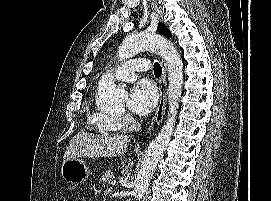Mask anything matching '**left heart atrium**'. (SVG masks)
Instances as JSON below:
<instances>
[{"mask_svg":"<svg viewBox=\"0 0 271 201\" xmlns=\"http://www.w3.org/2000/svg\"><path fill=\"white\" fill-rule=\"evenodd\" d=\"M158 95L155 87L147 81L134 85L128 98V108L139 115H148L157 103Z\"/></svg>","mask_w":271,"mask_h":201,"instance_id":"left-heart-atrium-1","label":"left heart atrium"}]
</instances>
